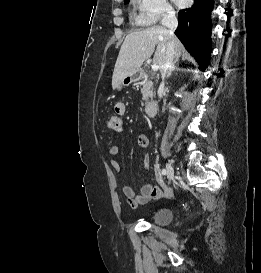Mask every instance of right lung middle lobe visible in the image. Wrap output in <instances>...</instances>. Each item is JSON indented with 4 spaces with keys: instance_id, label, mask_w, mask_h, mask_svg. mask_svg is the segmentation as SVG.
<instances>
[{
    "instance_id": "obj_1",
    "label": "right lung middle lobe",
    "mask_w": 261,
    "mask_h": 273,
    "mask_svg": "<svg viewBox=\"0 0 261 273\" xmlns=\"http://www.w3.org/2000/svg\"><path fill=\"white\" fill-rule=\"evenodd\" d=\"M128 2H129V0L124 1L125 4H127Z\"/></svg>"
}]
</instances>
